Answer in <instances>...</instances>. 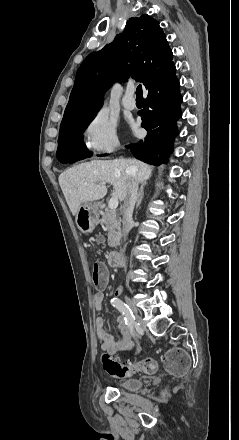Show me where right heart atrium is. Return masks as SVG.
Instances as JSON below:
<instances>
[{
    "label": "right heart atrium",
    "mask_w": 239,
    "mask_h": 440,
    "mask_svg": "<svg viewBox=\"0 0 239 440\" xmlns=\"http://www.w3.org/2000/svg\"><path fill=\"white\" fill-rule=\"evenodd\" d=\"M83 146L90 155H105L118 147V131L115 122L104 111L94 113L82 129Z\"/></svg>",
    "instance_id": "right-heart-atrium-1"
}]
</instances>
